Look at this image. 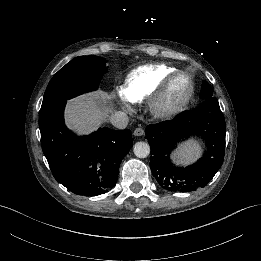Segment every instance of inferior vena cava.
<instances>
[{
  "label": "inferior vena cava",
  "instance_id": "602c4592",
  "mask_svg": "<svg viewBox=\"0 0 261 261\" xmlns=\"http://www.w3.org/2000/svg\"><path fill=\"white\" fill-rule=\"evenodd\" d=\"M110 122L114 127L118 129H124L128 125L129 118L126 113L122 111H116L110 116Z\"/></svg>",
  "mask_w": 261,
  "mask_h": 261
}]
</instances>
